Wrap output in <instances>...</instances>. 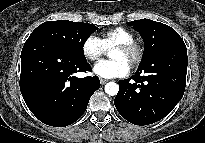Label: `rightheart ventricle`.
Segmentation results:
<instances>
[{"label":"right heart ventricle","instance_id":"obj_1","mask_svg":"<svg viewBox=\"0 0 205 143\" xmlns=\"http://www.w3.org/2000/svg\"><path fill=\"white\" fill-rule=\"evenodd\" d=\"M99 39L107 50L118 44L134 41V35L125 28L117 27L103 32Z\"/></svg>","mask_w":205,"mask_h":143}]
</instances>
